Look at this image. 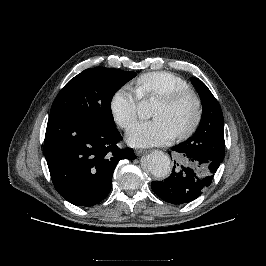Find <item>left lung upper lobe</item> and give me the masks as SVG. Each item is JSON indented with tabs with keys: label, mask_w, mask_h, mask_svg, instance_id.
Wrapping results in <instances>:
<instances>
[{
	"label": "left lung upper lobe",
	"mask_w": 266,
	"mask_h": 266,
	"mask_svg": "<svg viewBox=\"0 0 266 266\" xmlns=\"http://www.w3.org/2000/svg\"><path fill=\"white\" fill-rule=\"evenodd\" d=\"M202 102L203 111L195 134L181 143L189 152L200 154L221 163L225 154L223 113L208 87L199 79L191 78Z\"/></svg>",
	"instance_id": "1"
}]
</instances>
